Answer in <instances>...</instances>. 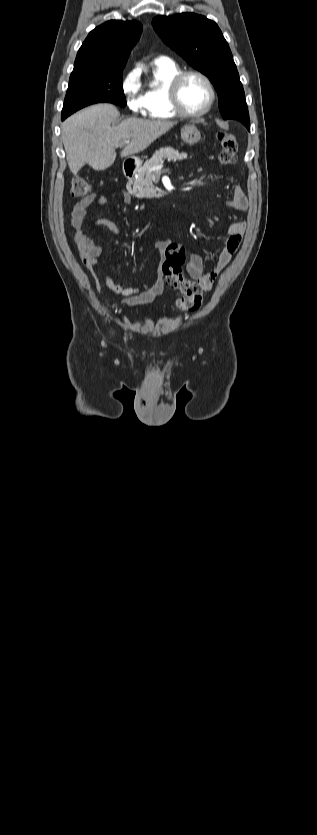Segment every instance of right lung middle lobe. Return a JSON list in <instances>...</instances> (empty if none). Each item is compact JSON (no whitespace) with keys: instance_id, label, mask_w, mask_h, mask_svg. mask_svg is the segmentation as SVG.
<instances>
[{"instance_id":"1","label":"right lung middle lobe","mask_w":317,"mask_h":835,"mask_svg":"<svg viewBox=\"0 0 317 835\" xmlns=\"http://www.w3.org/2000/svg\"><path fill=\"white\" fill-rule=\"evenodd\" d=\"M122 72L100 68L73 70L61 116L67 117L85 106L100 102L125 107Z\"/></svg>"}]
</instances>
